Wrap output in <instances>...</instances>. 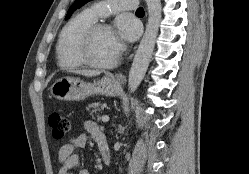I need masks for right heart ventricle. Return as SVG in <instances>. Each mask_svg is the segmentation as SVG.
<instances>
[{"label": "right heart ventricle", "mask_w": 249, "mask_h": 174, "mask_svg": "<svg viewBox=\"0 0 249 174\" xmlns=\"http://www.w3.org/2000/svg\"><path fill=\"white\" fill-rule=\"evenodd\" d=\"M95 23L86 12L73 17L63 28L58 41L56 53L60 67L75 69L83 65L77 48L83 33Z\"/></svg>", "instance_id": "e07e8e85"}]
</instances>
